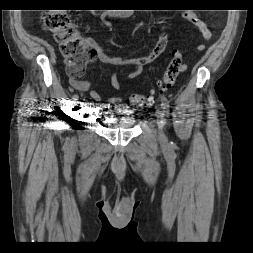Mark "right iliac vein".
<instances>
[{
    "label": "right iliac vein",
    "mask_w": 253,
    "mask_h": 253,
    "mask_svg": "<svg viewBox=\"0 0 253 253\" xmlns=\"http://www.w3.org/2000/svg\"><path fill=\"white\" fill-rule=\"evenodd\" d=\"M81 110V102H78L76 106L74 107L71 115L72 125L71 129H74V127L77 126V120L79 118V112Z\"/></svg>",
    "instance_id": "obj_1"
}]
</instances>
